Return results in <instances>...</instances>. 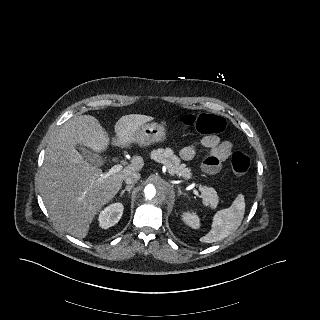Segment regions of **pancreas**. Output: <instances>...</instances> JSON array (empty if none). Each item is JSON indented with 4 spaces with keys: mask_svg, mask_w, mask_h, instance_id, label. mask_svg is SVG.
I'll return each mask as SVG.
<instances>
[{
    "mask_svg": "<svg viewBox=\"0 0 320 320\" xmlns=\"http://www.w3.org/2000/svg\"><path fill=\"white\" fill-rule=\"evenodd\" d=\"M151 158L165 165L167 171L171 175H177L185 179H189L192 176L190 169L186 167L185 164H181L180 158L176 156L170 148H159L154 150L151 153ZM200 191L202 193L201 197L203 198L204 206L210 207L211 209L216 208L218 204V195L215 189L212 187L200 186Z\"/></svg>",
    "mask_w": 320,
    "mask_h": 320,
    "instance_id": "cf45deb5",
    "label": "pancreas"
}]
</instances>
